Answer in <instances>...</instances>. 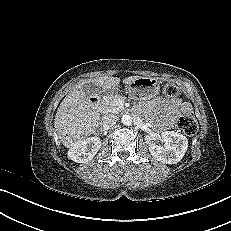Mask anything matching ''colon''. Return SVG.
<instances>
[{"label": "colon", "mask_w": 231, "mask_h": 231, "mask_svg": "<svg viewBox=\"0 0 231 231\" xmlns=\"http://www.w3.org/2000/svg\"><path fill=\"white\" fill-rule=\"evenodd\" d=\"M163 92L167 97L173 98L179 95V88L174 84H167ZM176 125L184 134L189 136L194 135L198 130L197 121L191 112H186L179 116Z\"/></svg>", "instance_id": "5ec220e1"}]
</instances>
